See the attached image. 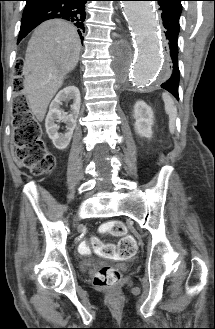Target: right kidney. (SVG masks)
I'll list each match as a JSON object with an SVG mask.
<instances>
[{"label": "right kidney", "mask_w": 215, "mask_h": 329, "mask_svg": "<svg viewBox=\"0 0 215 329\" xmlns=\"http://www.w3.org/2000/svg\"><path fill=\"white\" fill-rule=\"evenodd\" d=\"M67 100H73L69 114L61 109L62 102ZM80 104V91L74 85H69L59 91L50 104L49 112L45 119V127L49 138L59 150L65 149L71 141L79 115ZM58 121H62L66 124V132L64 134L58 133V126L56 124Z\"/></svg>", "instance_id": "1"}]
</instances>
